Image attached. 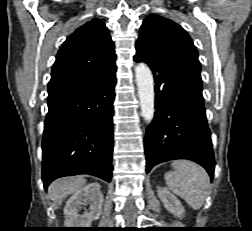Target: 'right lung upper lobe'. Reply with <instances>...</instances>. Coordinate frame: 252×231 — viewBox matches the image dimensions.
Wrapping results in <instances>:
<instances>
[{
    "instance_id": "obj_1",
    "label": "right lung upper lobe",
    "mask_w": 252,
    "mask_h": 231,
    "mask_svg": "<svg viewBox=\"0 0 252 231\" xmlns=\"http://www.w3.org/2000/svg\"><path fill=\"white\" fill-rule=\"evenodd\" d=\"M114 43L104 22L79 27L59 49L48 85V105L76 90L115 76Z\"/></svg>"
}]
</instances>
